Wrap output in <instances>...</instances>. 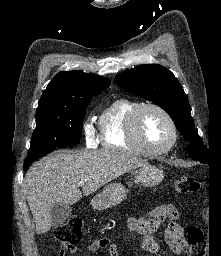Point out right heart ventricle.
<instances>
[{
    "label": "right heart ventricle",
    "mask_w": 221,
    "mask_h": 256,
    "mask_svg": "<svg viewBox=\"0 0 221 256\" xmlns=\"http://www.w3.org/2000/svg\"><path fill=\"white\" fill-rule=\"evenodd\" d=\"M141 103L126 97L111 101L100 115V144L104 149L131 154H143L127 136L131 114Z\"/></svg>",
    "instance_id": "obj_1"
}]
</instances>
